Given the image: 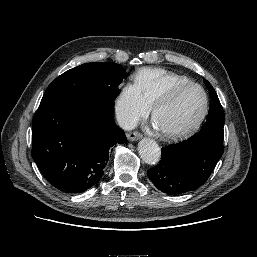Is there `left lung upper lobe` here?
<instances>
[{
	"mask_svg": "<svg viewBox=\"0 0 257 257\" xmlns=\"http://www.w3.org/2000/svg\"><path fill=\"white\" fill-rule=\"evenodd\" d=\"M204 82L208 87L213 103H211L210 105L208 117L205 124L203 125L199 133L195 135L200 136V135L211 134L215 136L224 137L223 127H224L225 118H224L223 108L219 102L218 96L214 88L212 87V85L205 79H204Z\"/></svg>",
	"mask_w": 257,
	"mask_h": 257,
	"instance_id": "1",
	"label": "left lung upper lobe"
}]
</instances>
